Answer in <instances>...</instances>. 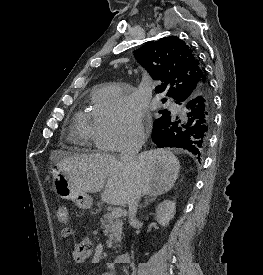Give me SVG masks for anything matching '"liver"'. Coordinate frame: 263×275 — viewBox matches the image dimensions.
<instances>
[{"mask_svg":"<svg viewBox=\"0 0 263 275\" xmlns=\"http://www.w3.org/2000/svg\"><path fill=\"white\" fill-rule=\"evenodd\" d=\"M52 160L73 185L86 193L104 188L102 200L111 205H125L135 177L125 171L120 159L109 154L66 156L54 151ZM141 193L160 196L172 189L180 172V162L166 149L144 151L137 156Z\"/></svg>","mask_w":263,"mask_h":275,"instance_id":"liver-1","label":"liver"}]
</instances>
